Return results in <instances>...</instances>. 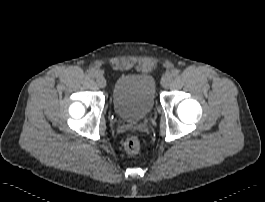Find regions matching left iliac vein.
I'll list each match as a JSON object with an SVG mask.
<instances>
[{
    "label": "left iliac vein",
    "mask_w": 265,
    "mask_h": 202,
    "mask_svg": "<svg viewBox=\"0 0 265 202\" xmlns=\"http://www.w3.org/2000/svg\"><path fill=\"white\" fill-rule=\"evenodd\" d=\"M173 75L171 73H166L161 80V85L166 88L169 87L172 82Z\"/></svg>",
    "instance_id": "obj_1"
}]
</instances>
